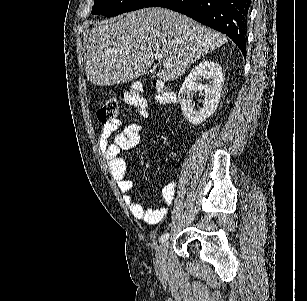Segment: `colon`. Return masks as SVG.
<instances>
[{"instance_id": "5ec220e1", "label": "colon", "mask_w": 307, "mask_h": 301, "mask_svg": "<svg viewBox=\"0 0 307 301\" xmlns=\"http://www.w3.org/2000/svg\"><path fill=\"white\" fill-rule=\"evenodd\" d=\"M154 88L155 98L158 103L169 104L174 101V92L164 83L156 82ZM124 101L132 106L142 118L147 117V101L142 84L133 83L124 94ZM117 115L118 103L114 99L107 100L97 111V118L103 124L117 120Z\"/></svg>"}]
</instances>
